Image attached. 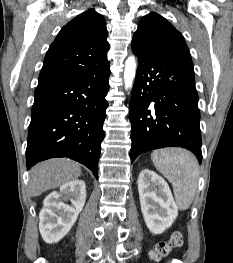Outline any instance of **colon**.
<instances>
[{
    "label": "colon",
    "mask_w": 233,
    "mask_h": 263,
    "mask_svg": "<svg viewBox=\"0 0 233 263\" xmlns=\"http://www.w3.org/2000/svg\"><path fill=\"white\" fill-rule=\"evenodd\" d=\"M183 244V234L181 232H174L166 241L157 243L150 252L151 260L158 262L165 257L173 249L180 247Z\"/></svg>",
    "instance_id": "1"
}]
</instances>
